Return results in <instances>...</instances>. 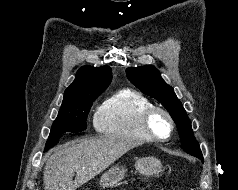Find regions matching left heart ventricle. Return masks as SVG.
Returning a JSON list of instances; mask_svg holds the SVG:
<instances>
[{
	"mask_svg": "<svg viewBox=\"0 0 238 190\" xmlns=\"http://www.w3.org/2000/svg\"><path fill=\"white\" fill-rule=\"evenodd\" d=\"M153 127L158 133L165 135L168 131V122L163 116L157 115L153 119Z\"/></svg>",
	"mask_w": 238,
	"mask_h": 190,
	"instance_id": "1",
	"label": "left heart ventricle"
}]
</instances>
